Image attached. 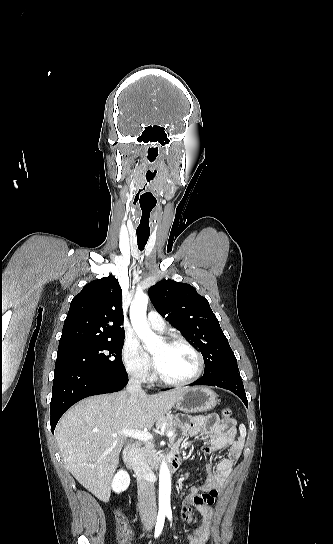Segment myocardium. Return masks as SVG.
<instances>
[{
  "label": "myocardium",
  "instance_id": "obj_1",
  "mask_svg": "<svg viewBox=\"0 0 333 544\" xmlns=\"http://www.w3.org/2000/svg\"><path fill=\"white\" fill-rule=\"evenodd\" d=\"M165 344L169 345V346H175V345H182L184 347H186L187 349H189L196 357L197 359V369L195 371V373L185 379V380H180V381H172V380H168V379H165L161 376V374L159 373L157 367H156V364L154 362V379L164 385V386H169V387H181V386H187V385H190L192 383H194L195 381H197L201 376L202 374L204 373V370H205V360H204V357L203 355L201 354V352L194 346L192 345L190 342H188L187 340L183 339V338H173V339H170V340H166L164 342Z\"/></svg>",
  "mask_w": 333,
  "mask_h": 544
}]
</instances>
